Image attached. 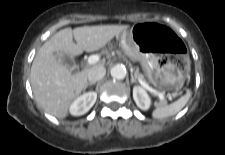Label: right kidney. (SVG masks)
Wrapping results in <instances>:
<instances>
[{"label":"right kidney","mask_w":225,"mask_h":155,"mask_svg":"<svg viewBox=\"0 0 225 155\" xmlns=\"http://www.w3.org/2000/svg\"><path fill=\"white\" fill-rule=\"evenodd\" d=\"M97 93L88 92L78 97L70 106V113L74 116H81L87 113L95 104Z\"/></svg>","instance_id":"obj_1"}]
</instances>
